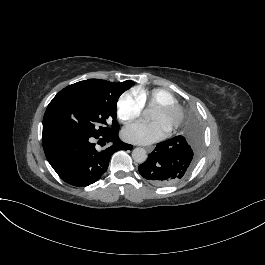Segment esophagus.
Masks as SVG:
<instances>
[{
	"mask_svg": "<svg viewBox=\"0 0 265 265\" xmlns=\"http://www.w3.org/2000/svg\"><path fill=\"white\" fill-rule=\"evenodd\" d=\"M146 150H147L148 152H151V151L153 150V147H148V148H146Z\"/></svg>",
	"mask_w": 265,
	"mask_h": 265,
	"instance_id": "1",
	"label": "esophagus"
}]
</instances>
